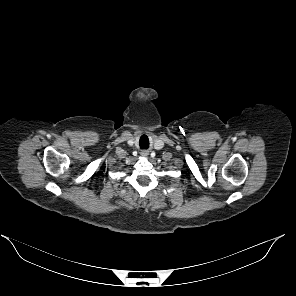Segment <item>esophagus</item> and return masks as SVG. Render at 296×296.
Wrapping results in <instances>:
<instances>
[{
  "instance_id": "obj_1",
  "label": "esophagus",
  "mask_w": 296,
  "mask_h": 296,
  "mask_svg": "<svg viewBox=\"0 0 296 296\" xmlns=\"http://www.w3.org/2000/svg\"><path fill=\"white\" fill-rule=\"evenodd\" d=\"M141 155H142V156H147L148 153H147L146 151H142V152H141Z\"/></svg>"
}]
</instances>
